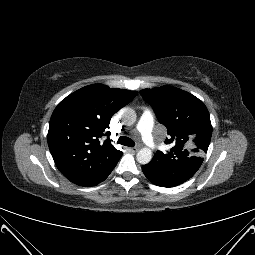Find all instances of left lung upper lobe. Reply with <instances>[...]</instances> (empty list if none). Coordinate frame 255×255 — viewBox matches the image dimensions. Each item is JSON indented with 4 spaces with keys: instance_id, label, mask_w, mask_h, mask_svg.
Masks as SVG:
<instances>
[{
    "instance_id": "left-lung-upper-lobe-1",
    "label": "left lung upper lobe",
    "mask_w": 255,
    "mask_h": 255,
    "mask_svg": "<svg viewBox=\"0 0 255 255\" xmlns=\"http://www.w3.org/2000/svg\"><path fill=\"white\" fill-rule=\"evenodd\" d=\"M166 126L170 151H157L146 165L154 174L176 184L190 179L200 168L207 152L212 126L209 112L194 95L172 86L140 91Z\"/></svg>"
}]
</instances>
